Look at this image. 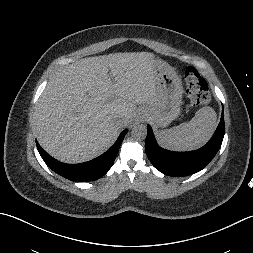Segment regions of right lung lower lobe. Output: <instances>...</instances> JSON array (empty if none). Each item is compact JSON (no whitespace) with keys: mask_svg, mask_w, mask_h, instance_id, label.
I'll return each instance as SVG.
<instances>
[{"mask_svg":"<svg viewBox=\"0 0 253 253\" xmlns=\"http://www.w3.org/2000/svg\"><path fill=\"white\" fill-rule=\"evenodd\" d=\"M126 133L127 130H124L114 145L104 154L80 164H66L57 161L48 155L37 141L36 145L42 159L54 172L74 182H87L97 180L108 172L117 156L119 147Z\"/></svg>","mask_w":253,"mask_h":253,"instance_id":"right-lung-lower-lobe-1","label":"right lung lower lobe"}]
</instances>
